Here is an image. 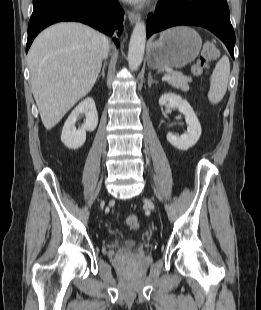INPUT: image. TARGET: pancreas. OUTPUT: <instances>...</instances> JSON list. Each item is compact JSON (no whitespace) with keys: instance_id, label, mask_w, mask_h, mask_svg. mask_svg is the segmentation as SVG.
<instances>
[{"instance_id":"cf45deb5","label":"pancreas","mask_w":261,"mask_h":310,"mask_svg":"<svg viewBox=\"0 0 261 310\" xmlns=\"http://www.w3.org/2000/svg\"><path fill=\"white\" fill-rule=\"evenodd\" d=\"M167 75H170L172 78L167 80L168 84L177 89H181L186 92L189 90L188 82H191V78L183 75L180 72L174 71L169 72Z\"/></svg>"}]
</instances>
